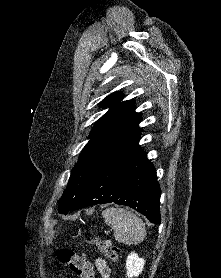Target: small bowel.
Wrapping results in <instances>:
<instances>
[{"label": "small bowel", "mask_w": 221, "mask_h": 278, "mask_svg": "<svg viewBox=\"0 0 221 278\" xmlns=\"http://www.w3.org/2000/svg\"><path fill=\"white\" fill-rule=\"evenodd\" d=\"M84 258L89 263V265L92 267V270H94V268H96L98 271H100V273L102 274V276L104 278L110 277V269L107 266V263L103 259H97L95 261V263L93 264L90 261H88L86 259V257H84ZM93 273H94V271H93Z\"/></svg>", "instance_id": "obj_1"}]
</instances>
